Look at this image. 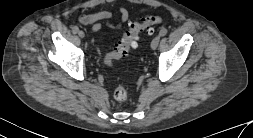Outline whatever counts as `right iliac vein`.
<instances>
[{"instance_id": "63e3f726", "label": "right iliac vein", "mask_w": 253, "mask_h": 138, "mask_svg": "<svg viewBox=\"0 0 253 138\" xmlns=\"http://www.w3.org/2000/svg\"><path fill=\"white\" fill-rule=\"evenodd\" d=\"M77 34H78L81 38L84 37V31H83L82 29H79V30L77 31Z\"/></svg>"}]
</instances>
